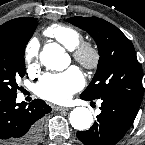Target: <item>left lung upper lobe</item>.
<instances>
[{
  "label": "left lung upper lobe",
  "mask_w": 145,
  "mask_h": 145,
  "mask_svg": "<svg viewBox=\"0 0 145 145\" xmlns=\"http://www.w3.org/2000/svg\"><path fill=\"white\" fill-rule=\"evenodd\" d=\"M86 30L99 50L97 72L81 96L90 100L122 98L141 104L142 68L131 41L114 25L97 17L67 20Z\"/></svg>",
  "instance_id": "5c2ea615"
}]
</instances>
